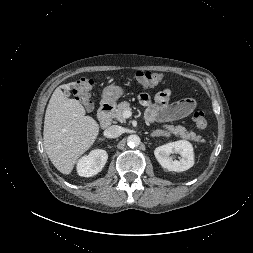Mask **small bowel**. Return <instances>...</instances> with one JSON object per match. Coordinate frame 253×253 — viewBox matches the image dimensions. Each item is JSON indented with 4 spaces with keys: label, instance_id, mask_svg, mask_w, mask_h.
Listing matches in <instances>:
<instances>
[{
    "label": "small bowel",
    "instance_id": "obj_1",
    "mask_svg": "<svg viewBox=\"0 0 253 253\" xmlns=\"http://www.w3.org/2000/svg\"><path fill=\"white\" fill-rule=\"evenodd\" d=\"M171 91L164 89L154 98L147 93H140L139 102L146 107V118L150 122H168L188 116L196 107V101L186 98L170 104Z\"/></svg>",
    "mask_w": 253,
    "mask_h": 253
}]
</instances>
